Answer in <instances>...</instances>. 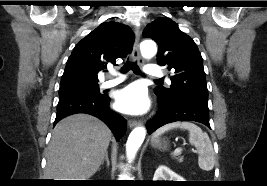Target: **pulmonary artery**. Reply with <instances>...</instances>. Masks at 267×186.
I'll list each match as a JSON object with an SVG mask.
<instances>
[{
	"mask_svg": "<svg viewBox=\"0 0 267 186\" xmlns=\"http://www.w3.org/2000/svg\"><path fill=\"white\" fill-rule=\"evenodd\" d=\"M145 73L149 76L159 77L163 75V68L157 64H149L144 69ZM125 79L124 75L106 79L101 83L102 88H109L115 86Z\"/></svg>",
	"mask_w": 267,
	"mask_h": 186,
	"instance_id": "e3ab8cb5",
	"label": "pulmonary artery"
}]
</instances>
